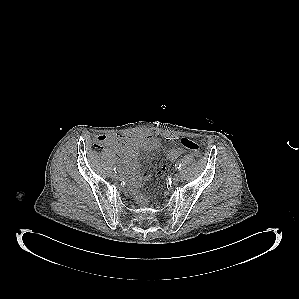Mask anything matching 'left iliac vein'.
<instances>
[{"instance_id": "obj_1", "label": "left iliac vein", "mask_w": 299, "mask_h": 299, "mask_svg": "<svg viewBox=\"0 0 299 299\" xmlns=\"http://www.w3.org/2000/svg\"><path fill=\"white\" fill-rule=\"evenodd\" d=\"M181 179V175L179 173H176L174 176H173V182L174 183H178Z\"/></svg>"}]
</instances>
